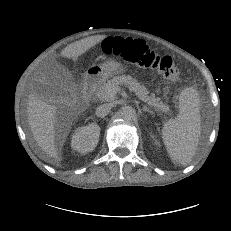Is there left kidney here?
<instances>
[{
  "instance_id": "5707ae66",
  "label": "left kidney",
  "mask_w": 231,
  "mask_h": 231,
  "mask_svg": "<svg viewBox=\"0 0 231 231\" xmlns=\"http://www.w3.org/2000/svg\"><path fill=\"white\" fill-rule=\"evenodd\" d=\"M153 138H154V136H152ZM155 144L157 145L158 144V141L157 140H155Z\"/></svg>"
}]
</instances>
